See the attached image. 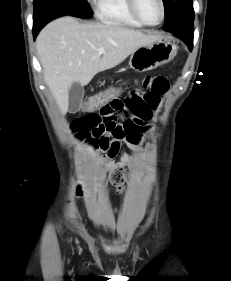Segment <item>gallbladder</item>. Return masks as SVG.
Returning a JSON list of instances; mask_svg holds the SVG:
<instances>
[{
  "label": "gallbladder",
  "mask_w": 231,
  "mask_h": 281,
  "mask_svg": "<svg viewBox=\"0 0 231 281\" xmlns=\"http://www.w3.org/2000/svg\"><path fill=\"white\" fill-rule=\"evenodd\" d=\"M69 95V111L75 113L80 109V105L84 96V89L79 83H73L68 91Z\"/></svg>",
  "instance_id": "gallbladder-1"
}]
</instances>
